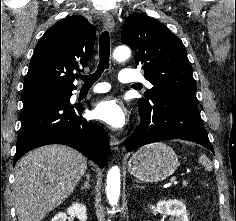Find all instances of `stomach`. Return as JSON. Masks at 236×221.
I'll return each instance as SVG.
<instances>
[{
    "instance_id": "1",
    "label": "stomach",
    "mask_w": 236,
    "mask_h": 221,
    "mask_svg": "<svg viewBox=\"0 0 236 221\" xmlns=\"http://www.w3.org/2000/svg\"><path fill=\"white\" fill-rule=\"evenodd\" d=\"M179 165L173 149L161 142L146 145L129 159L128 171L144 182H159L172 175Z\"/></svg>"
}]
</instances>
